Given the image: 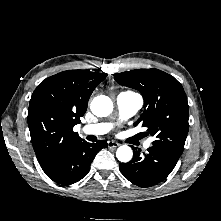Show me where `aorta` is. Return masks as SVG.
I'll return each mask as SVG.
<instances>
[{
    "instance_id": "1",
    "label": "aorta",
    "mask_w": 221,
    "mask_h": 221,
    "mask_svg": "<svg viewBox=\"0 0 221 221\" xmlns=\"http://www.w3.org/2000/svg\"><path fill=\"white\" fill-rule=\"evenodd\" d=\"M91 111L98 117H106L113 110L111 99L105 95L95 97L90 105ZM116 157L120 162L127 163L133 157L132 149L127 145L120 146L116 151Z\"/></svg>"
}]
</instances>
